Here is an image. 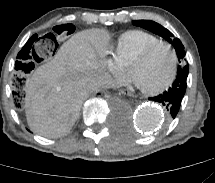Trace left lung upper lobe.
I'll return each mask as SVG.
<instances>
[{"label":"left lung upper lobe","instance_id":"left-lung-upper-lobe-1","mask_svg":"<svg viewBox=\"0 0 215 183\" xmlns=\"http://www.w3.org/2000/svg\"><path fill=\"white\" fill-rule=\"evenodd\" d=\"M132 23L136 26L143 27L155 34L160 35L169 43L173 44L179 61H185V51H184L183 44L178 38H175L174 35L169 30H167L166 28H164L163 26H161L160 24L154 21L139 20V21H132ZM188 71H189L188 64H184L183 66H179L178 68V73L188 72Z\"/></svg>","mask_w":215,"mask_h":183}]
</instances>
